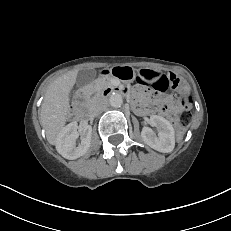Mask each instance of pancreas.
<instances>
[{"instance_id":"pancreas-1","label":"pancreas","mask_w":231,"mask_h":231,"mask_svg":"<svg viewBox=\"0 0 231 231\" xmlns=\"http://www.w3.org/2000/svg\"><path fill=\"white\" fill-rule=\"evenodd\" d=\"M107 83H108V81H105V82H104V85H106Z\"/></svg>"}]
</instances>
